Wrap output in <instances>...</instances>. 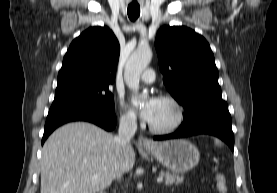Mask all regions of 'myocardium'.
Returning <instances> with one entry per match:
<instances>
[{"label": "myocardium", "mask_w": 277, "mask_h": 193, "mask_svg": "<svg viewBox=\"0 0 277 193\" xmlns=\"http://www.w3.org/2000/svg\"><path fill=\"white\" fill-rule=\"evenodd\" d=\"M159 100H163L170 103L175 109L176 116L174 121L166 127H156L149 123L148 124L149 130L155 134L172 133L176 131L184 122V119H185L184 107L175 97L171 95H162L159 97Z\"/></svg>", "instance_id": "f54148a6"}]
</instances>
